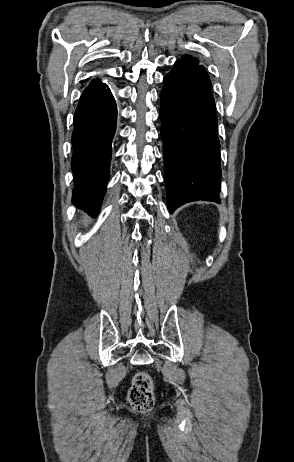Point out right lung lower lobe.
Returning a JSON list of instances; mask_svg holds the SVG:
<instances>
[{"label":"right lung lower lobe","instance_id":"1","mask_svg":"<svg viewBox=\"0 0 294 462\" xmlns=\"http://www.w3.org/2000/svg\"><path fill=\"white\" fill-rule=\"evenodd\" d=\"M116 121V102L109 87L99 79L92 80L74 115L71 166L75 173L73 202L93 216L105 193Z\"/></svg>","mask_w":294,"mask_h":462}]
</instances>
